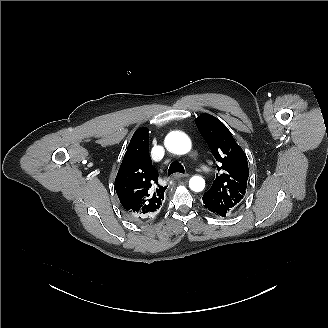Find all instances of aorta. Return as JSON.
<instances>
[{
	"label": "aorta",
	"instance_id": "obj_1",
	"mask_svg": "<svg viewBox=\"0 0 328 328\" xmlns=\"http://www.w3.org/2000/svg\"><path fill=\"white\" fill-rule=\"evenodd\" d=\"M166 148L175 154H186L191 149L189 137L180 131H173L165 138ZM189 187L194 192H201L205 188V180L200 176H193L189 180Z\"/></svg>",
	"mask_w": 328,
	"mask_h": 328
}]
</instances>
